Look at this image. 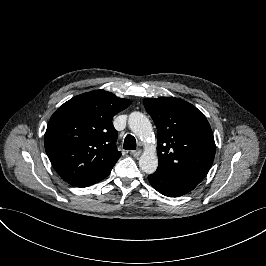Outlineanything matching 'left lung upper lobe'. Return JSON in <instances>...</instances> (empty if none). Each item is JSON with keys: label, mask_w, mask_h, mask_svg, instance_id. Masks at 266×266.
Masks as SVG:
<instances>
[{"label": "left lung upper lobe", "mask_w": 266, "mask_h": 266, "mask_svg": "<svg viewBox=\"0 0 266 266\" xmlns=\"http://www.w3.org/2000/svg\"><path fill=\"white\" fill-rule=\"evenodd\" d=\"M144 107L158 131L157 170L197 185L210 170L216 150L206 117L173 97L145 98Z\"/></svg>", "instance_id": "left-lung-upper-lobe-1"}]
</instances>
